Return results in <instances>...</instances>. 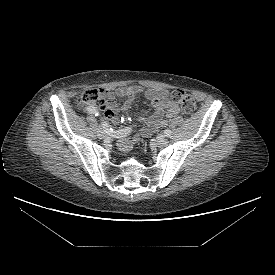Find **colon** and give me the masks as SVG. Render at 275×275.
Here are the masks:
<instances>
[{"instance_id":"obj_1","label":"colon","mask_w":275,"mask_h":275,"mask_svg":"<svg viewBox=\"0 0 275 275\" xmlns=\"http://www.w3.org/2000/svg\"><path fill=\"white\" fill-rule=\"evenodd\" d=\"M168 97L176 104H179L186 114H192L196 109V102L193 96L187 91L181 89L173 90L168 92ZM78 102L83 106H95L102 110L106 106L105 97L97 89H88L82 92L78 98Z\"/></svg>"}]
</instances>
